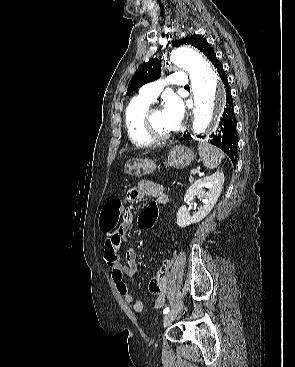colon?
<instances>
[{"label":"colon","instance_id":"colon-1","mask_svg":"<svg viewBox=\"0 0 295 367\" xmlns=\"http://www.w3.org/2000/svg\"><path fill=\"white\" fill-rule=\"evenodd\" d=\"M156 196L149 195L145 210L139 218V225L144 228H150L158 219V214L162 211V206L156 202ZM124 217V207L118 197L110 198L102 209L100 215V228L103 231H109L116 227L121 217Z\"/></svg>","mask_w":295,"mask_h":367}]
</instances>
